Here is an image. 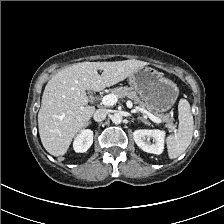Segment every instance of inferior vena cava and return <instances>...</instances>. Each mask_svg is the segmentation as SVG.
<instances>
[{"instance_id": "inferior-vena-cava-1", "label": "inferior vena cava", "mask_w": 224, "mask_h": 224, "mask_svg": "<svg viewBox=\"0 0 224 224\" xmlns=\"http://www.w3.org/2000/svg\"><path fill=\"white\" fill-rule=\"evenodd\" d=\"M107 114V109H97L93 114V119L97 122H100L106 118Z\"/></svg>"}]
</instances>
